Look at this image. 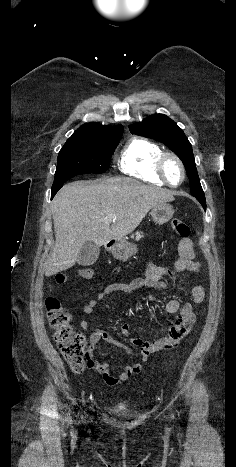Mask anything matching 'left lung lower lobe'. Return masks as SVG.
Masks as SVG:
<instances>
[{"instance_id": "left-lung-lower-lobe-1", "label": "left lung lower lobe", "mask_w": 236, "mask_h": 467, "mask_svg": "<svg viewBox=\"0 0 236 467\" xmlns=\"http://www.w3.org/2000/svg\"><path fill=\"white\" fill-rule=\"evenodd\" d=\"M203 206L204 210H206V201L205 197H195Z\"/></svg>"}]
</instances>
